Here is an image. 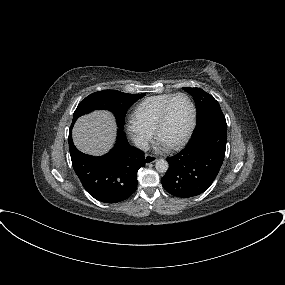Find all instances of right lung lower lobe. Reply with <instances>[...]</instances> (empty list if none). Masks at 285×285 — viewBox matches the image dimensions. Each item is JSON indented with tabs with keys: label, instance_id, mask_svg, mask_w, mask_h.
Instances as JSON below:
<instances>
[{
	"label": "right lung lower lobe",
	"instance_id": "98d812e1",
	"mask_svg": "<svg viewBox=\"0 0 285 285\" xmlns=\"http://www.w3.org/2000/svg\"><path fill=\"white\" fill-rule=\"evenodd\" d=\"M69 130L72 165L85 190L104 203H117L129 198L137 189V172L145 166L144 153L130 146L123 129H118L113 149L104 156L94 157L80 152Z\"/></svg>",
	"mask_w": 285,
	"mask_h": 285
}]
</instances>
